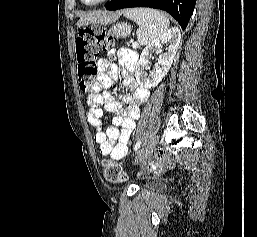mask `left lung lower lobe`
I'll return each mask as SVG.
<instances>
[{
    "mask_svg": "<svg viewBox=\"0 0 257 237\" xmlns=\"http://www.w3.org/2000/svg\"><path fill=\"white\" fill-rule=\"evenodd\" d=\"M196 0H111L105 5L107 10L132 7H150L168 12L184 30L193 13Z\"/></svg>",
    "mask_w": 257,
    "mask_h": 237,
    "instance_id": "1",
    "label": "left lung lower lobe"
}]
</instances>
